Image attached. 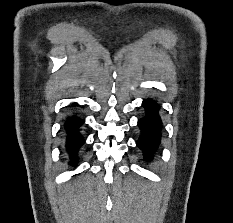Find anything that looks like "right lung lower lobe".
Wrapping results in <instances>:
<instances>
[{
  "instance_id": "98d812e1",
  "label": "right lung lower lobe",
  "mask_w": 233,
  "mask_h": 223,
  "mask_svg": "<svg viewBox=\"0 0 233 223\" xmlns=\"http://www.w3.org/2000/svg\"><path fill=\"white\" fill-rule=\"evenodd\" d=\"M83 120L77 117H70L65 122V129L67 131V149L72 157V162L77 161L76 152L84 143L83 137L78 132V127L83 124Z\"/></svg>"
}]
</instances>
